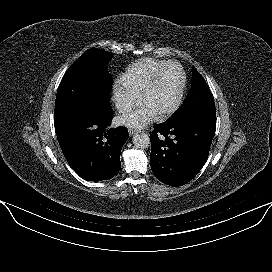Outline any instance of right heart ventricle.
<instances>
[{"instance_id": "1", "label": "right heart ventricle", "mask_w": 272, "mask_h": 272, "mask_svg": "<svg viewBox=\"0 0 272 272\" xmlns=\"http://www.w3.org/2000/svg\"><path fill=\"white\" fill-rule=\"evenodd\" d=\"M167 63L168 61L154 58L137 60L123 73L121 83L133 92L141 94L156 73Z\"/></svg>"}]
</instances>
